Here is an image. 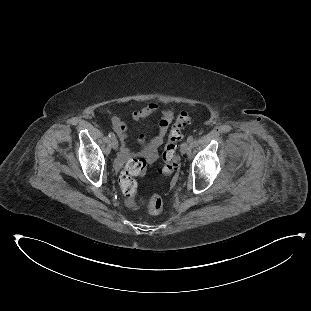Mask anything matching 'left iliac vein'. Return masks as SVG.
<instances>
[{"label":"left iliac vein","instance_id":"1","mask_svg":"<svg viewBox=\"0 0 311 311\" xmlns=\"http://www.w3.org/2000/svg\"><path fill=\"white\" fill-rule=\"evenodd\" d=\"M180 150H181V153L182 154H185V153H187L188 152V150H189V143L188 142H183L182 144H181V148H180Z\"/></svg>","mask_w":311,"mask_h":311}]
</instances>
